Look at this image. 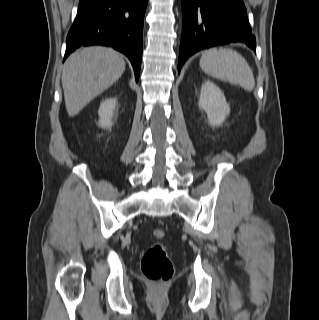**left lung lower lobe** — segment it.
<instances>
[{
    "mask_svg": "<svg viewBox=\"0 0 319 320\" xmlns=\"http://www.w3.org/2000/svg\"><path fill=\"white\" fill-rule=\"evenodd\" d=\"M182 37L178 71L197 51L241 42L256 51L243 0H182Z\"/></svg>",
    "mask_w": 319,
    "mask_h": 320,
    "instance_id": "0a47b994",
    "label": "left lung lower lobe"
}]
</instances>
